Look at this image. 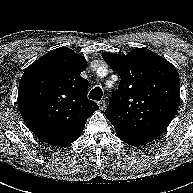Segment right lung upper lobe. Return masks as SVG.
<instances>
[{"label":"right lung upper lobe","mask_w":193,"mask_h":193,"mask_svg":"<svg viewBox=\"0 0 193 193\" xmlns=\"http://www.w3.org/2000/svg\"><path fill=\"white\" fill-rule=\"evenodd\" d=\"M86 59L68 47L50 51L28 66L20 80L18 107L29 129L51 145L81 135L98 105L87 99L80 76Z\"/></svg>","instance_id":"obj_1"}]
</instances>
